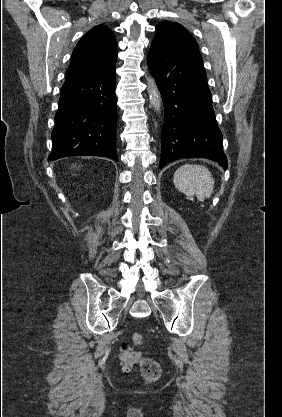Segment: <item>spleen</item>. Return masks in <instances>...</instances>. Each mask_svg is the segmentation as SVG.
<instances>
[{
	"label": "spleen",
	"instance_id": "spleen-1",
	"mask_svg": "<svg viewBox=\"0 0 282 417\" xmlns=\"http://www.w3.org/2000/svg\"><path fill=\"white\" fill-rule=\"evenodd\" d=\"M174 184L186 196L196 194L198 200L203 202L205 196L209 198L214 188V178L203 164H182L174 172Z\"/></svg>",
	"mask_w": 282,
	"mask_h": 417
}]
</instances>
